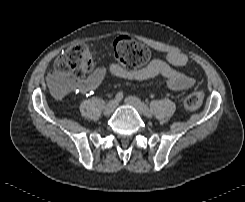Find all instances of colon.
<instances>
[{
	"label": "colon",
	"instance_id": "5ec220e1",
	"mask_svg": "<svg viewBox=\"0 0 245 202\" xmlns=\"http://www.w3.org/2000/svg\"><path fill=\"white\" fill-rule=\"evenodd\" d=\"M117 62L126 69L145 66L150 57V49L132 36L123 35L113 43ZM94 68L89 49L84 43L69 46L55 61L53 82L63 90H71L73 82L86 77ZM204 93L201 90L189 94L183 107L187 111L196 110L202 103Z\"/></svg>",
	"mask_w": 245,
	"mask_h": 202
}]
</instances>
